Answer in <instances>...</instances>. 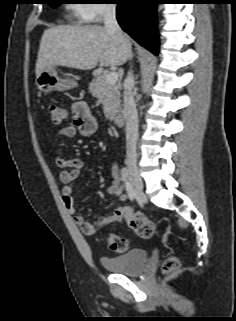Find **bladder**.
I'll list each match as a JSON object with an SVG mask.
<instances>
[{
  "mask_svg": "<svg viewBox=\"0 0 236 321\" xmlns=\"http://www.w3.org/2000/svg\"><path fill=\"white\" fill-rule=\"evenodd\" d=\"M147 261L148 253L145 249H132L118 256L101 258V263L107 270L125 275L140 273Z\"/></svg>",
  "mask_w": 236,
  "mask_h": 321,
  "instance_id": "bladder-1",
  "label": "bladder"
}]
</instances>
